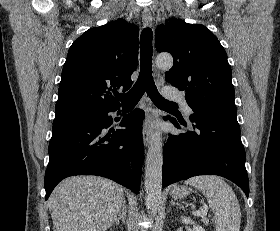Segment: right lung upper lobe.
Listing matches in <instances>:
<instances>
[{
  "instance_id": "right-lung-upper-lobe-1",
  "label": "right lung upper lobe",
  "mask_w": 280,
  "mask_h": 231,
  "mask_svg": "<svg viewBox=\"0 0 280 231\" xmlns=\"http://www.w3.org/2000/svg\"><path fill=\"white\" fill-rule=\"evenodd\" d=\"M139 28L123 19L87 30L63 66L54 122L120 107L112 89L127 90L138 59Z\"/></svg>"
}]
</instances>
